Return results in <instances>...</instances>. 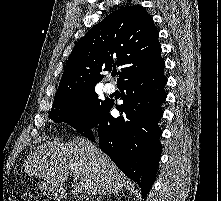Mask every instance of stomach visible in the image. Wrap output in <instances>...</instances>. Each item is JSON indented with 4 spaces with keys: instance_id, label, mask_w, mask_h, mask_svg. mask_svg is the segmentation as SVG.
Returning <instances> with one entry per match:
<instances>
[{
    "instance_id": "obj_1",
    "label": "stomach",
    "mask_w": 221,
    "mask_h": 201,
    "mask_svg": "<svg viewBox=\"0 0 221 201\" xmlns=\"http://www.w3.org/2000/svg\"><path fill=\"white\" fill-rule=\"evenodd\" d=\"M37 187L39 190L44 192L46 195L50 197H56L58 195V190L54 189L50 184H48L46 181L44 182H39L37 184Z\"/></svg>"
}]
</instances>
